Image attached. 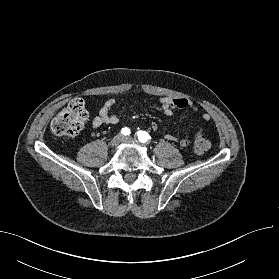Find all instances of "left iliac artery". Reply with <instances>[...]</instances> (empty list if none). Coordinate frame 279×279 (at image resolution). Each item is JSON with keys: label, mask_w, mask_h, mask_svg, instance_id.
<instances>
[{"label": "left iliac artery", "mask_w": 279, "mask_h": 279, "mask_svg": "<svg viewBox=\"0 0 279 279\" xmlns=\"http://www.w3.org/2000/svg\"><path fill=\"white\" fill-rule=\"evenodd\" d=\"M137 137L141 143L149 142V140L151 139L150 135L145 131H138Z\"/></svg>", "instance_id": "1"}]
</instances>
